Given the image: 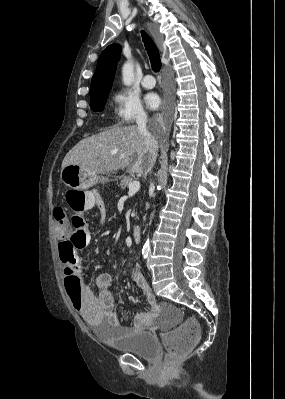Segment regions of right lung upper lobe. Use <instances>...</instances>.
<instances>
[{
    "label": "right lung upper lobe",
    "mask_w": 285,
    "mask_h": 399,
    "mask_svg": "<svg viewBox=\"0 0 285 399\" xmlns=\"http://www.w3.org/2000/svg\"><path fill=\"white\" fill-rule=\"evenodd\" d=\"M121 50L122 48L119 44H111L101 53L91 81V98L110 92Z\"/></svg>",
    "instance_id": "obj_1"
}]
</instances>
